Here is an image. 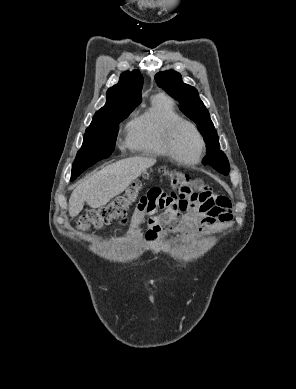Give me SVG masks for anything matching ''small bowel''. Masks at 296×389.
Masks as SVG:
<instances>
[{"instance_id": "small-bowel-1", "label": "small bowel", "mask_w": 296, "mask_h": 389, "mask_svg": "<svg viewBox=\"0 0 296 389\" xmlns=\"http://www.w3.org/2000/svg\"><path fill=\"white\" fill-rule=\"evenodd\" d=\"M157 194L156 197H153ZM162 209L161 213H157ZM231 202L212 191L182 197L151 189L137 205L131 220L129 234L143 224L148 225L147 237L154 240L159 234L191 236L211 226L232 220Z\"/></svg>"}]
</instances>
